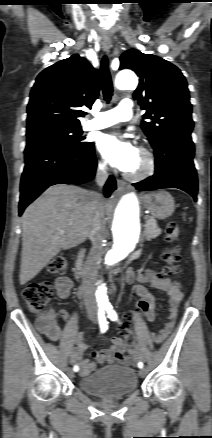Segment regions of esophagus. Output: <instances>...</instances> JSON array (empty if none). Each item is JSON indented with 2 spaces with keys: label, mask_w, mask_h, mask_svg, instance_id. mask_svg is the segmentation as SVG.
Wrapping results in <instances>:
<instances>
[{
  "label": "esophagus",
  "mask_w": 212,
  "mask_h": 438,
  "mask_svg": "<svg viewBox=\"0 0 212 438\" xmlns=\"http://www.w3.org/2000/svg\"><path fill=\"white\" fill-rule=\"evenodd\" d=\"M102 46H103L104 50L108 51V49H109L110 46H111V43H110V42H104V43L102 44ZM117 185H118V188H119L120 190H124L125 187H126V182L123 181V180H121V179H117Z\"/></svg>",
  "instance_id": "34e87169"
}]
</instances>
